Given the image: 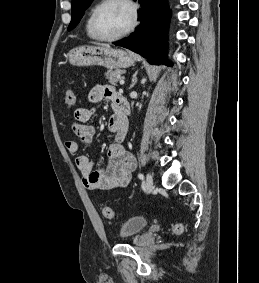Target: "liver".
I'll return each mask as SVG.
<instances>
[{"label": "liver", "instance_id": "6515ba94", "mask_svg": "<svg viewBox=\"0 0 259 283\" xmlns=\"http://www.w3.org/2000/svg\"><path fill=\"white\" fill-rule=\"evenodd\" d=\"M101 46H104V47H109V45H101Z\"/></svg>", "mask_w": 259, "mask_h": 283}]
</instances>
